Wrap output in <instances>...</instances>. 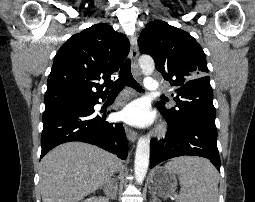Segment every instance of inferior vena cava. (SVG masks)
<instances>
[{
	"mask_svg": "<svg viewBox=\"0 0 255 202\" xmlns=\"http://www.w3.org/2000/svg\"><path fill=\"white\" fill-rule=\"evenodd\" d=\"M116 186H117V183L115 181V179H110L108 180L104 187H105V190L107 191V193L112 197L114 198L116 196Z\"/></svg>",
	"mask_w": 255,
	"mask_h": 202,
	"instance_id": "602c4592",
	"label": "inferior vena cava"
}]
</instances>
